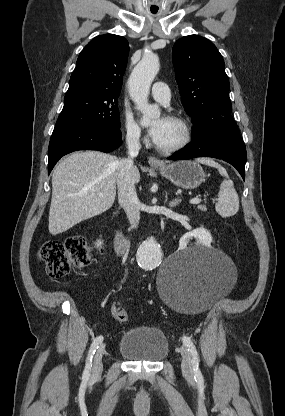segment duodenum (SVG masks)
I'll list each match as a JSON object with an SVG mask.
<instances>
[{
  "label": "duodenum",
  "instance_id": "1",
  "mask_svg": "<svg viewBox=\"0 0 285 416\" xmlns=\"http://www.w3.org/2000/svg\"><path fill=\"white\" fill-rule=\"evenodd\" d=\"M114 247L116 253L121 258H125L128 255L130 249L129 240L123 232L118 230L115 232Z\"/></svg>",
  "mask_w": 285,
  "mask_h": 416
}]
</instances>
